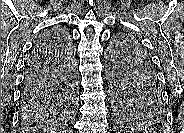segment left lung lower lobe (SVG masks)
Masks as SVG:
<instances>
[{
  "mask_svg": "<svg viewBox=\"0 0 184 133\" xmlns=\"http://www.w3.org/2000/svg\"><path fill=\"white\" fill-rule=\"evenodd\" d=\"M157 77H154V79H153V82H154V85L152 86V89L155 91V93H156V95L160 98V97H162V91H161V87H160V85H158L157 84ZM127 118V117H126ZM129 121H131L132 123H134L133 121H132V119H130V118H127ZM135 124V123H134ZM164 125V124H163ZM163 125H157L156 127L155 126H153V127H149V128H153V129H155V128H158V127H162Z\"/></svg>",
  "mask_w": 184,
  "mask_h": 133,
  "instance_id": "left-lung-lower-lobe-1",
  "label": "left lung lower lobe"
}]
</instances>
